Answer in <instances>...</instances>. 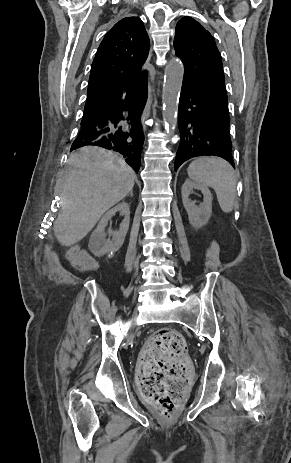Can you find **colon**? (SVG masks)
<instances>
[{
    "instance_id": "colon-1",
    "label": "colon",
    "mask_w": 291,
    "mask_h": 463,
    "mask_svg": "<svg viewBox=\"0 0 291 463\" xmlns=\"http://www.w3.org/2000/svg\"><path fill=\"white\" fill-rule=\"evenodd\" d=\"M68 259L79 270L95 266L92 257L79 248L70 250ZM186 350V340L180 333L163 328L149 339L140 354L141 394L164 418L174 415L178 399L189 383L190 364Z\"/></svg>"
}]
</instances>
